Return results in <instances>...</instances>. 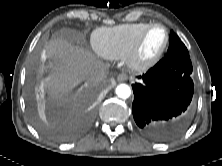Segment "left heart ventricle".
Wrapping results in <instances>:
<instances>
[{"label": "left heart ventricle", "mask_w": 222, "mask_h": 166, "mask_svg": "<svg viewBox=\"0 0 222 166\" xmlns=\"http://www.w3.org/2000/svg\"><path fill=\"white\" fill-rule=\"evenodd\" d=\"M165 34L161 28H154L149 31L140 47L139 56L141 59L153 57L162 47Z\"/></svg>", "instance_id": "1"}]
</instances>
